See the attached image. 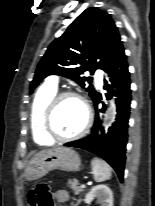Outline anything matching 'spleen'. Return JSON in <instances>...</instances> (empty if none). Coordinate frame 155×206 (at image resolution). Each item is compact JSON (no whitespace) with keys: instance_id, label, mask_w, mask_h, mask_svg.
<instances>
[{"instance_id":"spleen-1","label":"spleen","mask_w":155,"mask_h":206,"mask_svg":"<svg viewBox=\"0 0 155 206\" xmlns=\"http://www.w3.org/2000/svg\"><path fill=\"white\" fill-rule=\"evenodd\" d=\"M91 166L96 182H103L111 178V168L104 160L94 158L91 161Z\"/></svg>"}]
</instances>
